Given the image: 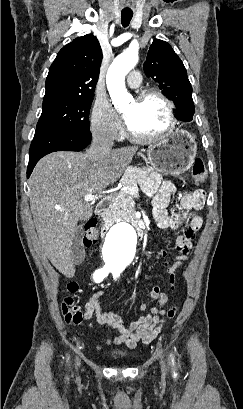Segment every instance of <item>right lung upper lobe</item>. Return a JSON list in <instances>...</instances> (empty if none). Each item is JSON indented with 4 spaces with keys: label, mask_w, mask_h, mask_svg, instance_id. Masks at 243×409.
Segmentation results:
<instances>
[{
    "label": "right lung upper lobe",
    "mask_w": 243,
    "mask_h": 409,
    "mask_svg": "<svg viewBox=\"0 0 243 409\" xmlns=\"http://www.w3.org/2000/svg\"><path fill=\"white\" fill-rule=\"evenodd\" d=\"M101 61L102 50L94 35L74 39L50 66L43 101L93 97Z\"/></svg>",
    "instance_id": "obj_1"
}]
</instances>
